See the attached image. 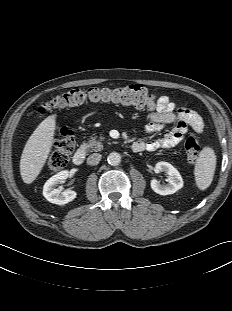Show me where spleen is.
Masks as SVG:
<instances>
[{
    "label": "spleen",
    "mask_w": 232,
    "mask_h": 311,
    "mask_svg": "<svg viewBox=\"0 0 232 311\" xmlns=\"http://www.w3.org/2000/svg\"><path fill=\"white\" fill-rule=\"evenodd\" d=\"M215 168L216 155L214 150L210 147L203 148L194 168L196 185L200 190H205L211 185Z\"/></svg>",
    "instance_id": "3e777b00"
}]
</instances>
